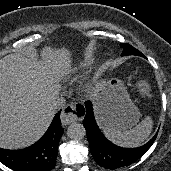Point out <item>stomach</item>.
Listing matches in <instances>:
<instances>
[{"mask_svg":"<svg viewBox=\"0 0 171 171\" xmlns=\"http://www.w3.org/2000/svg\"><path fill=\"white\" fill-rule=\"evenodd\" d=\"M103 124L120 130H127L135 126L140 119V111L134 105L130 96L119 79H110L101 90Z\"/></svg>","mask_w":171,"mask_h":171,"instance_id":"obj_1","label":"stomach"}]
</instances>
